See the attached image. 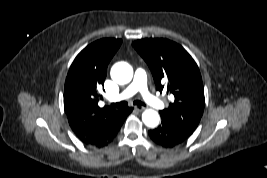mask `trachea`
Here are the masks:
<instances>
[{
    "label": "trachea",
    "mask_w": 267,
    "mask_h": 178,
    "mask_svg": "<svg viewBox=\"0 0 267 178\" xmlns=\"http://www.w3.org/2000/svg\"><path fill=\"white\" fill-rule=\"evenodd\" d=\"M127 105V102L126 101H122V102H117V103H112L111 104V107H116V108H119L121 106H125ZM134 105H145L144 103H142L141 101H134Z\"/></svg>",
    "instance_id": "1"
}]
</instances>
